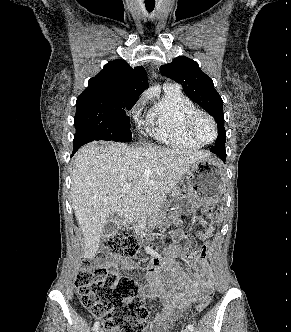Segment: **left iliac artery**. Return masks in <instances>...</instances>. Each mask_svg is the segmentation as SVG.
I'll return each mask as SVG.
<instances>
[{
  "mask_svg": "<svg viewBox=\"0 0 291 332\" xmlns=\"http://www.w3.org/2000/svg\"><path fill=\"white\" fill-rule=\"evenodd\" d=\"M187 328L190 330V332H193L194 331V327L192 324H188L187 325Z\"/></svg>",
  "mask_w": 291,
  "mask_h": 332,
  "instance_id": "left-iliac-artery-1",
  "label": "left iliac artery"
}]
</instances>
